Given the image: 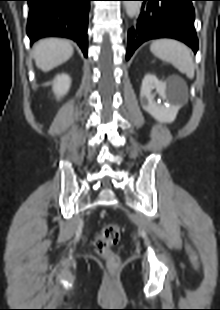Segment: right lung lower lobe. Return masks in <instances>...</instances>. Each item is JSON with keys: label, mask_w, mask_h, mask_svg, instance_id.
Returning a JSON list of instances; mask_svg holds the SVG:
<instances>
[{"label": "right lung lower lobe", "mask_w": 220, "mask_h": 310, "mask_svg": "<svg viewBox=\"0 0 220 310\" xmlns=\"http://www.w3.org/2000/svg\"><path fill=\"white\" fill-rule=\"evenodd\" d=\"M27 34L31 43L46 36L77 42L87 56V24L92 0H27Z\"/></svg>", "instance_id": "obj_1"}]
</instances>
